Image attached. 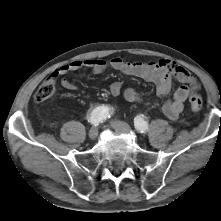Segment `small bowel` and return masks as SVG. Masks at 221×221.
Returning <instances> with one entry per match:
<instances>
[{
	"mask_svg": "<svg viewBox=\"0 0 221 221\" xmlns=\"http://www.w3.org/2000/svg\"><path fill=\"white\" fill-rule=\"evenodd\" d=\"M82 68L90 69L94 74H101L108 69H114L126 75L142 78L154 84L156 93L160 97L170 94L173 79H176L182 85L174 91L172 98L166 100L162 105L163 113L172 120L177 119L183 112L184 104L190 92L200 87L193 75L180 65L167 59L150 62H129L121 57H114L108 61L88 58L62 65L53 71L50 77L55 80L61 78L60 83L64 89L75 91L77 90L76 84L64 76ZM110 93L113 96L123 95L129 102L141 101L139 93L132 87L123 89L121 81H115L111 84Z\"/></svg>",
	"mask_w": 221,
	"mask_h": 221,
	"instance_id": "c3829d8e",
	"label": "small bowel"
}]
</instances>
